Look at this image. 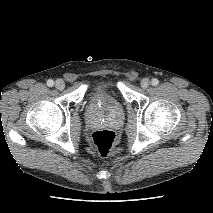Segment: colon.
Segmentation results:
<instances>
[{"label":"colon","instance_id":"5ec220e1","mask_svg":"<svg viewBox=\"0 0 213 213\" xmlns=\"http://www.w3.org/2000/svg\"><path fill=\"white\" fill-rule=\"evenodd\" d=\"M91 142L101 156H108L117 143L116 133L109 129H99L91 134Z\"/></svg>","mask_w":213,"mask_h":213}]
</instances>
